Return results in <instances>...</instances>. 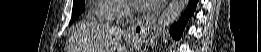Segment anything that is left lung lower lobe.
Masks as SVG:
<instances>
[{"instance_id": "1", "label": "left lung lower lobe", "mask_w": 261, "mask_h": 52, "mask_svg": "<svg viewBox=\"0 0 261 52\" xmlns=\"http://www.w3.org/2000/svg\"><path fill=\"white\" fill-rule=\"evenodd\" d=\"M198 0H189L188 6L183 14V16L179 19V21L173 24L169 30L170 34L175 39H179L184 30V27L189 19V17L194 13Z\"/></svg>"}]
</instances>
